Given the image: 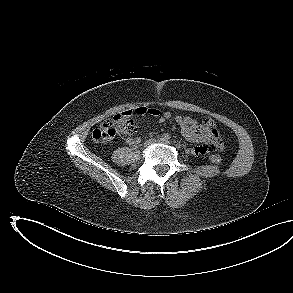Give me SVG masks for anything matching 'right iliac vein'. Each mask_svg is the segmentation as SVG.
<instances>
[{
  "label": "right iliac vein",
  "mask_w": 293,
  "mask_h": 293,
  "mask_svg": "<svg viewBox=\"0 0 293 293\" xmlns=\"http://www.w3.org/2000/svg\"><path fill=\"white\" fill-rule=\"evenodd\" d=\"M154 142H156L155 139H149V140L145 141L144 146H145V147H148V146H150L151 144H153Z\"/></svg>",
  "instance_id": "right-iliac-vein-1"
}]
</instances>
